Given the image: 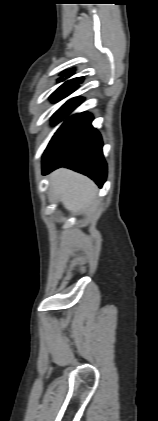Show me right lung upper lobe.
I'll return each instance as SVG.
<instances>
[{
  "instance_id": "right-lung-upper-lobe-1",
  "label": "right lung upper lobe",
  "mask_w": 158,
  "mask_h": 421,
  "mask_svg": "<svg viewBox=\"0 0 158 421\" xmlns=\"http://www.w3.org/2000/svg\"><path fill=\"white\" fill-rule=\"evenodd\" d=\"M73 69L66 70L63 73H61V76L70 77L73 74ZM63 78H60L58 81H62ZM83 81L82 77L74 78L72 80L66 81L62 86H76L78 87V84Z\"/></svg>"
}]
</instances>
